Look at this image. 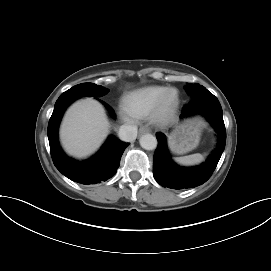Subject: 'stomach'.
Masks as SVG:
<instances>
[{
    "instance_id": "stomach-1",
    "label": "stomach",
    "mask_w": 271,
    "mask_h": 271,
    "mask_svg": "<svg viewBox=\"0 0 271 271\" xmlns=\"http://www.w3.org/2000/svg\"><path fill=\"white\" fill-rule=\"evenodd\" d=\"M205 126L204 120L199 117L189 119L177 125L168 138L171 151L176 154H185L196 148Z\"/></svg>"
}]
</instances>
